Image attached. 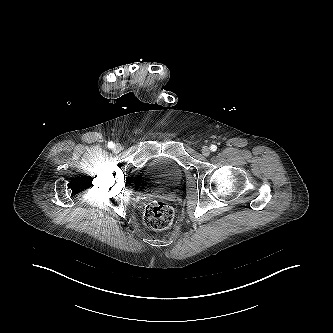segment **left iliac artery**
<instances>
[{
    "label": "left iliac artery",
    "mask_w": 333,
    "mask_h": 333,
    "mask_svg": "<svg viewBox=\"0 0 333 333\" xmlns=\"http://www.w3.org/2000/svg\"><path fill=\"white\" fill-rule=\"evenodd\" d=\"M210 149L212 152H215L217 150V146L216 145H211Z\"/></svg>",
    "instance_id": "1"
}]
</instances>
